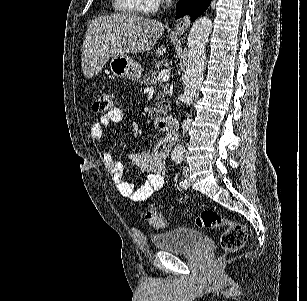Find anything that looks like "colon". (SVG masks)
Masks as SVG:
<instances>
[{"instance_id": "5ec220e1", "label": "colon", "mask_w": 307, "mask_h": 301, "mask_svg": "<svg viewBox=\"0 0 307 301\" xmlns=\"http://www.w3.org/2000/svg\"><path fill=\"white\" fill-rule=\"evenodd\" d=\"M112 108L111 97L103 93L92 104L97 113H107ZM147 223L154 229L162 230L167 226L165 217L155 209L145 213ZM196 224L203 229L225 227L220 237V246L225 254L240 250L247 239V229L244 225L233 222L212 209L202 211L196 218Z\"/></svg>"}]
</instances>
